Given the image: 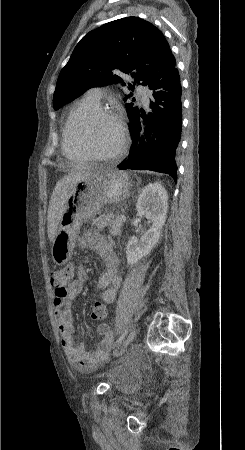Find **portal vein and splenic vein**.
<instances>
[{"instance_id": "portal-vein-and-splenic-vein-1", "label": "portal vein and splenic vein", "mask_w": 245, "mask_h": 450, "mask_svg": "<svg viewBox=\"0 0 245 450\" xmlns=\"http://www.w3.org/2000/svg\"><path fill=\"white\" fill-rule=\"evenodd\" d=\"M116 219H117L118 221H121V222H123V221H125V220H126V217H125V216H123V215H121V216H117V217H116Z\"/></svg>"}]
</instances>
